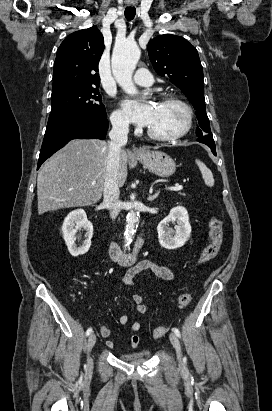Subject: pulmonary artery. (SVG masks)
Here are the masks:
<instances>
[{
    "label": "pulmonary artery",
    "mask_w": 272,
    "mask_h": 411,
    "mask_svg": "<svg viewBox=\"0 0 272 411\" xmlns=\"http://www.w3.org/2000/svg\"><path fill=\"white\" fill-rule=\"evenodd\" d=\"M134 82L139 86L148 87L154 82L151 73L145 68H139L134 75Z\"/></svg>",
    "instance_id": "e3ab8cb5"
}]
</instances>
